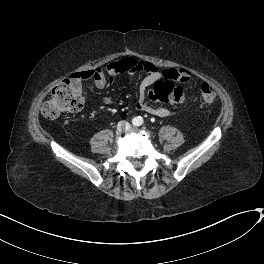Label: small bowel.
Wrapping results in <instances>:
<instances>
[{
    "instance_id": "c3829d8e",
    "label": "small bowel",
    "mask_w": 264,
    "mask_h": 264,
    "mask_svg": "<svg viewBox=\"0 0 264 264\" xmlns=\"http://www.w3.org/2000/svg\"><path fill=\"white\" fill-rule=\"evenodd\" d=\"M144 71L145 77L142 79L139 86V97L137 100V109L147 114L164 118L171 114V111L166 107L155 106L151 101L150 88L157 81L164 78L163 71L153 65L137 61L133 58H125L119 61H113L107 66V74L98 69H91L82 72H76L71 77L78 80H90L92 79L98 88H104L107 84H111L115 81L116 77L120 73L126 72H138ZM186 75L185 70L182 71ZM117 96L115 94L105 95L101 98V102L104 104H112L116 101Z\"/></svg>"
}]
</instances>
